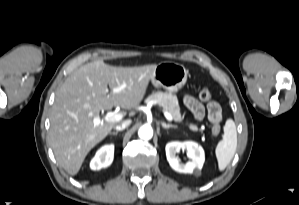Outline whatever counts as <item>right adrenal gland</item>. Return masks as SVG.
I'll return each mask as SVG.
<instances>
[{"label":"right adrenal gland","mask_w":299,"mask_h":205,"mask_svg":"<svg viewBox=\"0 0 299 205\" xmlns=\"http://www.w3.org/2000/svg\"><path fill=\"white\" fill-rule=\"evenodd\" d=\"M118 134V131L116 132H110V135H117Z\"/></svg>","instance_id":"obj_1"}]
</instances>
